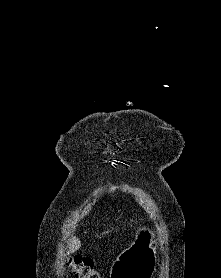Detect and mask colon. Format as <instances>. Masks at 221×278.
Wrapping results in <instances>:
<instances>
[{
  "mask_svg": "<svg viewBox=\"0 0 221 278\" xmlns=\"http://www.w3.org/2000/svg\"><path fill=\"white\" fill-rule=\"evenodd\" d=\"M66 265L75 275V278H102L90 258L81 256L69 258Z\"/></svg>",
  "mask_w": 221,
  "mask_h": 278,
  "instance_id": "obj_1",
  "label": "colon"
}]
</instances>
